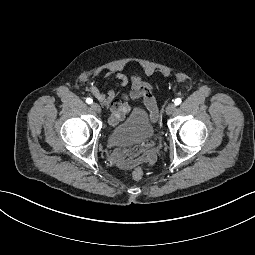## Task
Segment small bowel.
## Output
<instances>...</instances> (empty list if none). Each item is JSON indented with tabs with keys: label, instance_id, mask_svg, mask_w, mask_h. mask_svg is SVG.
Segmentation results:
<instances>
[{
	"label": "small bowel",
	"instance_id": "small-bowel-1",
	"mask_svg": "<svg viewBox=\"0 0 255 255\" xmlns=\"http://www.w3.org/2000/svg\"><path fill=\"white\" fill-rule=\"evenodd\" d=\"M104 77L120 87H125L129 84V82H131V90L122 94L120 97L116 95L114 89L101 91L94 83L89 87V91L92 96L102 105L110 109V127H113L122 121L123 118L129 113L131 110L129 100L132 99L141 98L152 119H157L158 108L150 84L143 81L137 75H133L131 78H129L126 74L120 71H107L104 74ZM155 161L156 154L153 143L140 144L130 149L118 148L110 157V162L122 170H130L140 164L152 166Z\"/></svg>",
	"mask_w": 255,
	"mask_h": 255
}]
</instances>
